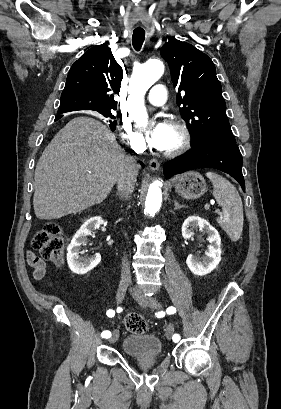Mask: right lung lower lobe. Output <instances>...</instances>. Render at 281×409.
Segmentation results:
<instances>
[{
    "instance_id": "obj_1",
    "label": "right lung lower lobe",
    "mask_w": 281,
    "mask_h": 409,
    "mask_svg": "<svg viewBox=\"0 0 281 409\" xmlns=\"http://www.w3.org/2000/svg\"><path fill=\"white\" fill-rule=\"evenodd\" d=\"M62 116H63V115H57L56 118H55V120L60 119ZM142 166H143V164H142Z\"/></svg>"
}]
</instances>
